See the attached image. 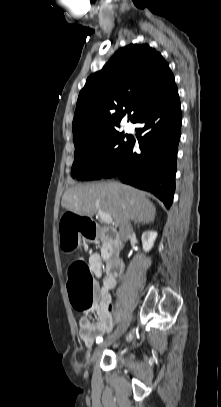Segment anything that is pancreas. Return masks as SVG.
Listing matches in <instances>:
<instances>
[{"label": "pancreas", "mask_w": 221, "mask_h": 407, "mask_svg": "<svg viewBox=\"0 0 221 407\" xmlns=\"http://www.w3.org/2000/svg\"><path fill=\"white\" fill-rule=\"evenodd\" d=\"M113 249V241L112 239H104L102 245V257L105 259L107 258L108 254Z\"/></svg>", "instance_id": "obj_1"}]
</instances>
